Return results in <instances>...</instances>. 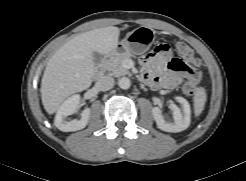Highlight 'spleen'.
<instances>
[{"label": "spleen", "mask_w": 246, "mask_h": 181, "mask_svg": "<svg viewBox=\"0 0 246 181\" xmlns=\"http://www.w3.org/2000/svg\"><path fill=\"white\" fill-rule=\"evenodd\" d=\"M207 94L204 87H197L193 96V108L195 116H199L204 110Z\"/></svg>", "instance_id": "spleen-1"}]
</instances>
